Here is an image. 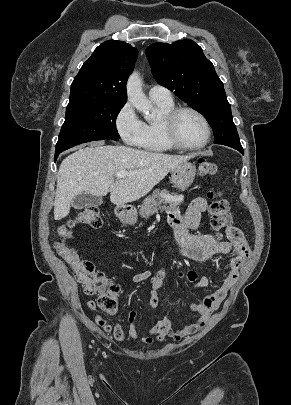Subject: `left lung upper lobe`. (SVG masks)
<instances>
[{"label": "left lung upper lobe", "mask_w": 291, "mask_h": 405, "mask_svg": "<svg viewBox=\"0 0 291 405\" xmlns=\"http://www.w3.org/2000/svg\"><path fill=\"white\" fill-rule=\"evenodd\" d=\"M146 55L155 80L207 118L214 143L241 147L223 83L199 45L190 39L154 43Z\"/></svg>", "instance_id": "obj_1"}]
</instances>
